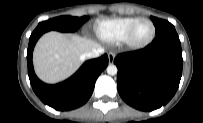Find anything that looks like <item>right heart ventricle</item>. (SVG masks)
Masks as SVG:
<instances>
[{"label": "right heart ventricle", "mask_w": 203, "mask_h": 123, "mask_svg": "<svg viewBox=\"0 0 203 123\" xmlns=\"http://www.w3.org/2000/svg\"><path fill=\"white\" fill-rule=\"evenodd\" d=\"M141 18L125 17L99 21L95 26L97 36L107 42L124 41L129 29Z\"/></svg>", "instance_id": "e07e8e85"}]
</instances>
